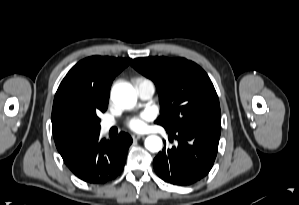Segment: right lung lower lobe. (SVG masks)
<instances>
[{"mask_svg":"<svg viewBox=\"0 0 299 205\" xmlns=\"http://www.w3.org/2000/svg\"><path fill=\"white\" fill-rule=\"evenodd\" d=\"M99 134L81 140L61 155L78 178L93 184L109 182L122 172L132 143L124 132L111 140L101 139Z\"/></svg>","mask_w":299,"mask_h":205,"instance_id":"98d812e1","label":"right lung lower lobe"}]
</instances>
